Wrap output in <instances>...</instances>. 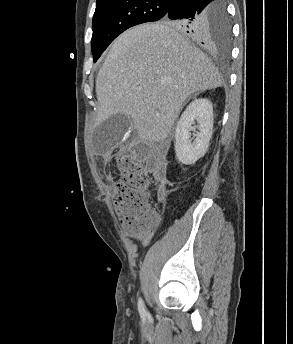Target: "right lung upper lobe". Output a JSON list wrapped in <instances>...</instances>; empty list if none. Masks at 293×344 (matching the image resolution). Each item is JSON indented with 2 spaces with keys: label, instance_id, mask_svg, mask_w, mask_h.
<instances>
[{
  "label": "right lung upper lobe",
  "instance_id": "right-lung-upper-lobe-1",
  "mask_svg": "<svg viewBox=\"0 0 293 344\" xmlns=\"http://www.w3.org/2000/svg\"><path fill=\"white\" fill-rule=\"evenodd\" d=\"M101 1H105V0H97V3L101 2ZM171 1H174V0H171ZM207 45H209V43Z\"/></svg>",
  "mask_w": 293,
  "mask_h": 344
}]
</instances>
